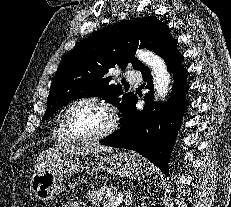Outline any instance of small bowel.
Instances as JSON below:
<instances>
[{
  "label": "small bowel",
  "instance_id": "c3829d8e",
  "mask_svg": "<svg viewBox=\"0 0 231 207\" xmlns=\"http://www.w3.org/2000/svg\"><path fill=\"white\" fill-rule=\"evenodd\" d=\"M64 207H86V206L81 201H72L64 205Z\"/></svg>",
  "mask_w": 231,
  "mask_h": 207
}]
</instances>
